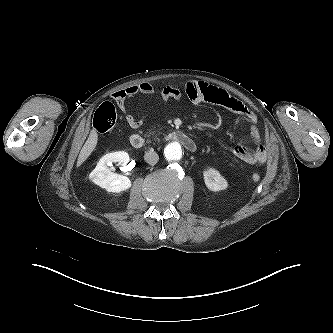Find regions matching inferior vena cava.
I'll list each match as a JSON object with an SVG mask.
<instances>
[{"label":"inferior vena cava","instance_id":"inferior-vena-cava-1","mask_svg":"<svg viewBox=\"0 0 333 333\" xmlns=\"http://www.w3.org/2000/svg\"><path fill=\"white\" fill-rule=\"evenodd\" d=\"M144 160L150 165H155L159 160V156L154 150H150L145 153Z\"/></svg>","mask_w":333,"mask_h":333}]
</instances>
